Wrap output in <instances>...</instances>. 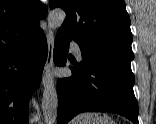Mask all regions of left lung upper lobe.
<instances>
[{
  "label": "left lung upper lobe",
  "mask_w": 156,
  "mask_h": 124,
  "mask_svg": "<svg viewBox=\"0 0 156 124\" xmlns=\"http://www.w3.org/2000/svg\"><path fill=\"white\" fill-rule=\"evenodd\" d=\"M66 12L58 30L75 40L82 58L107 57L131 66L130 18L123 0H49Z\"/></svg>",
  "instance_id": "1"
}]
</instances>
